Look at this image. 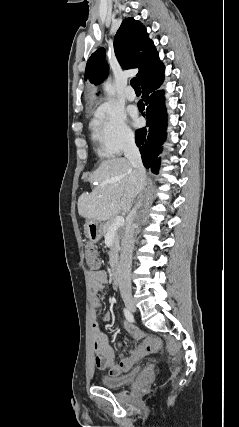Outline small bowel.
Masks as SVG:
<instances>
[{
    "label": "small bowel",
    "mask_w": 239,
    "mask_h": 427,
    "mask_svg": "<svg viewBox=\"0 0 239 427\" xmlns=\"http://www.w3.org/2000/svg\"><path fill=\"white\" fill-rule=\"evenodd\" d=\"M91 304L93 311L92 318V338L95 352V364L99 369H107L110 375L118 376L128 371L146 353L155 352L160 345L156 337H144L143 333L133 325L127 324L126 328L130 335L138 341V344L128 356L120 362H115V352L107 338L103 327L97 323L96 309L101 306L99 298L100 292L109 284V278L105 271L96 270L89 272ZM112 320V313L106 312L103 317L104 323Z\"/></svg>",
    "instance_id": "1"
}]
</instances>
